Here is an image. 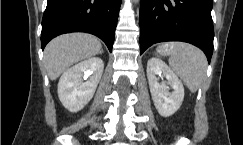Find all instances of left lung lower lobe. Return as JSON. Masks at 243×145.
<instances>
[{
    "label": "left lung lower lobe",
    "mask_w": 243,
    "mask_h": 145,
    "mask_svg": "<svg viewBox=\"0 0 243 145\" xmlns=\"http://www.w3.org/2000/svg\"><path fill=\"white\" fill-rule=\"evenodd\" d=\"M211 10L212 0H141L140 54L158 42L184 41L199 47L210 62Z\"/></svg>",
    "instance_id": "0a47b994"
}]
</instances>
